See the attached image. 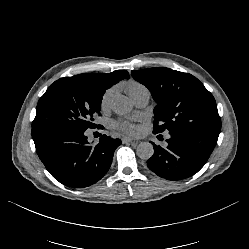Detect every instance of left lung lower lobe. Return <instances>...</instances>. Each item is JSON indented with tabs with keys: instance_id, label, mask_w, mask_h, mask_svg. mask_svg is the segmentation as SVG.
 <instances>
[{
	"instance_id": "0a47b994",
	"label": "left lung lower lobe",
	"mask_w": 249,
	"mask_h": 249,
	"mask_svg": "<svg viewBox=\"0 0 249 249\" xmlns=\"http://www.w3.org/2000/svg\"><path fill=\"white\" fill-rule=\"evenodd\" d=\"M153 133L161 132L153 129ZM169 134L164 148L151 142L154 154L147 160L148 168L167 180H181L197 173L210 157L219 136V132L196 128H179Z\"/></svg>"
}]
</instances>
